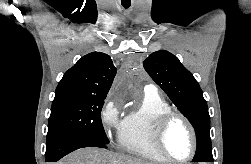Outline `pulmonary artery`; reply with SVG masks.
<instances>
[{"instance_id":"e3ab8cb5","label":"pulmonary artery","mask_w":251,"mask_h":164,"mask_svg":"<svg viewBox=\"0 0 251 164\" xmlns=\"http://www.w3.org/2000/svg\"><path fill=\"white\" fill-rule=\"evenodd\" d=\"M144 92L146 94H157V88L152 84H148L144 87Z\"/></svg>"}]
</instances>
